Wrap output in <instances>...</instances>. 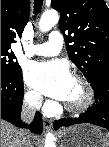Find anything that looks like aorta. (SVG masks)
Listing matches in <instances>:
<instances>
[{"instance_id":"762f6f07","label":"aorta","mask_w":109,"mask_h":147,"mask_svg":"<svg viewBox=\"0 0 109 147\" xmlns=\"http://www.w3.org/2000/svg\"><path fill=\"white\" fill-rule=\"evenodd\" d=\"M59 21V15L56 10L45 11L39 21V29L42 32L51 30ZM44 147H55L54 136L48 133L45 138Z\"/></svg>"}]
</instances>
